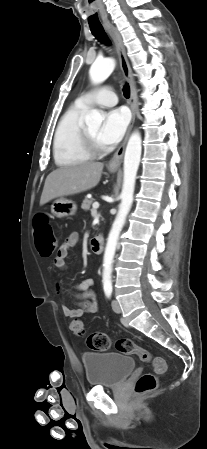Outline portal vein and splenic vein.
<instances>
[{"mask_svg": "<svg viewBox=\"0 0 207 449\" xmlns=\"http://www.w3.org/2000/svg\"><path fill=\"white\" fill-rule=\"evenodd\" d=\"M99 207V203L98 202H94L92 205V210H96Z\"/></svg>", "mask_w": 207, "mask_h": 449, "instance_id": "1", "label": "portal vein and splenic vein"}]
</instances>
